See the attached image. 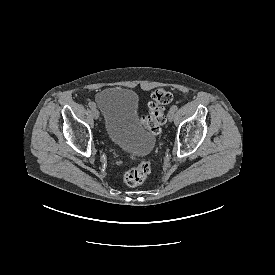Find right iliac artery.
<instances>
[{
    "instance_id": "obj_1",
    "label": "right iliac artery",
    "mask_w": 275,
    "mask_h": 275,
    "mask_svg": "<svg viewBox=\"0 0 275 275\" xmlns=\"http://www.w3.org/2000/svg\"><path fill=\"white\" fill-rule=\"evenodd\" d=\"M88 105H89V107L92 108V109H93L94 107H96L94 102H89Z\"/></svg>"
}]
</instances>
